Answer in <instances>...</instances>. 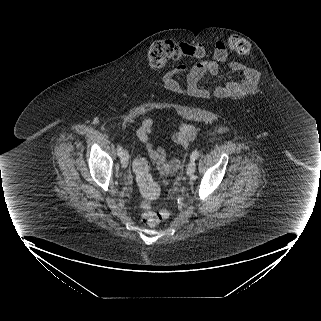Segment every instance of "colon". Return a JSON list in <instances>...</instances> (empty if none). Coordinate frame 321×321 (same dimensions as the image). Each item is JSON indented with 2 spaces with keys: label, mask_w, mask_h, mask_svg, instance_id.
<instances>
[{
  "label": "colon",
  "mask_w": 321,
  "mask_h": 321,
  "mask_svg": "<svg viewBox=\"0 0 321 321\" xmlns=\"http://www.w3.org/2000/svg\"><path fill=\"white\" fill-rule=\"evenodd\" d=\"M225 42L228 48L238 55L243 56L250 52L249 42L240 36H230ZM205 55L206 48L201 44L191 45L170 40L155 41L147 50L148 61L155 68H163L171 61L200 59ZM133 169L142 195L141 219L146 225L155 226L168 216L166 211H155L152 208V203L159 196V187L150 174L149 164L145 158L138 157L134 161Z\"/></svg>",
  "instance_id": "1"
}]
</instances>
